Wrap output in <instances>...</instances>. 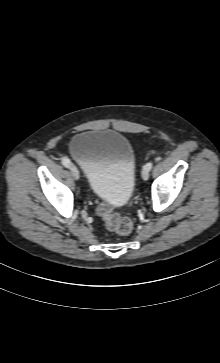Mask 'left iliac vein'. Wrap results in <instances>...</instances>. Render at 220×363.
Here are the masks:
<instances>
[{
    "label": "left iliac vein",
    "instance_id": "4c4485c4",
    "mask_svg": "<svg viewBox=\"0 0 220 363\" xmlns=\"http://www.w3.org/2000/svg\"><path fill=\"white\" fill-rule=\"evenodd\" d=\"M142 179L145 181L149 179V170L146 168H143L142 170Z\"/></svg>",
    "mask_w": 220,
    "mask_h": 363
}]
</instances>
